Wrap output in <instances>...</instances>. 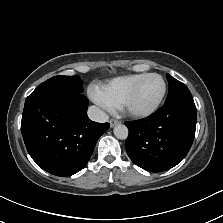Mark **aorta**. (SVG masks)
I'll return each instance as SVG.
<instances>
[{"label":"aorta","mask_w":223,"mask_h":223,"mask_svg":"<svg viewBox=\"0 0 223 223\" xmlns=\"http://www.w3.org/2000/svg\"><path fill=\"white\" fill-rule=\"evenodd\" d=\"M114 135L118 138V139H126L128 136V129L125 125L123 124H118L114 127L113 129Z\"/></svg>","instance_id":"762f6f07"}]
</instances>
